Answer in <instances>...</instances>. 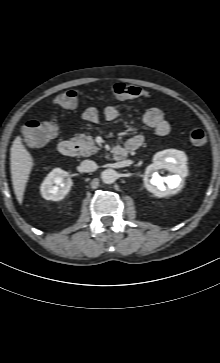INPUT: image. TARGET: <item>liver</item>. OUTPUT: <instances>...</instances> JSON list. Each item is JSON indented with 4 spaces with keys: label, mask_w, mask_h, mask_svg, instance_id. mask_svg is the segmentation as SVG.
<instances>
[{
    "label": "liver",
    "mask_w": 220,
    "mask_h": 363,
    "mask_svg": "<svg viewBox=\"0 0 220 363\" xmlns=\"http://www.w3.org/2000/svg\"><path fill=\"white\" fill-rule=\"evenodd\" d=\"M10 168L14 193L17 201L22 204L26 184L34 166L33 157L22 143L21 136L13 141L10 150Z\"/></svg>",
    "instance_id": "liver-1"
}]
</instances>
